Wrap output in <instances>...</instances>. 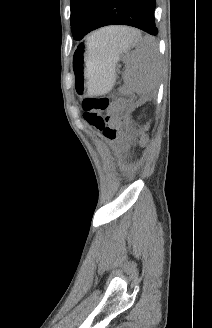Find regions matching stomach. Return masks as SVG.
Returning a JSON list of instances; mask_svg holds the SVG:
<instances>
[{"label": "stomach", "instance_id": "1", "mask_svg": "<svg viewBox=\"0 0 212 328\" xmlns=\"http://www.w3.org/2000/svg\"><path fill=\"white\" fill-rule=\"evenodd\" d=\"M136 42L127 47L116 49L114 55L106 51L97 52L86 44L77 49L74 55L73 68L76 86L79 91L88 95L107 93L116 78L115 66L120 53L127 50Z\"/></svg>", "mask_w": 212, "mask_h": 328}]
</instances>
